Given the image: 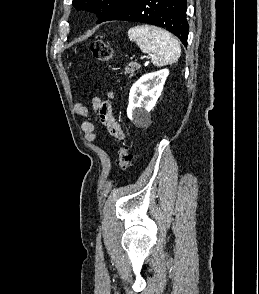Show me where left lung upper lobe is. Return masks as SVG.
<instances>
[{
  "instance_id": "5c2ea615",
  "label": "left lung upper lobe",
  "mask_w": 259,
  "mask_h": 294,
  "mask_svg": "<svg viewBox=\"0 0 259 294\" xmlns=\"http://www.w3.org/2000/svg\"><path fill=\"white\" fill-rule=\"evenodd\" d=\"M126 0H73V6L76 10H87L97 15L101 23L105 18L120 4Z\"/></svg>"
}]
</instances>
